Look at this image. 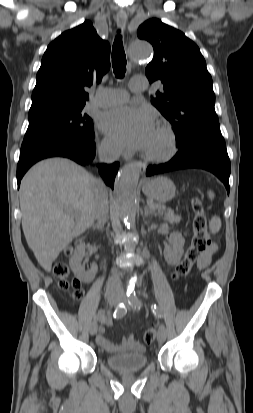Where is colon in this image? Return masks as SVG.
<instances>
[{"label": "colon", "instance_id": "1", "mask_svg": "<svg viewBox=\"0 0 253 413\" xmlns=\"http://www.w3.org/2000/svg\"><path fill=\"white\" fill-rule=\"evenodd\" d=\"M192 209L194 211L193 219V237L190 246L188 247L183 259L175 267L171 277L173 280H179L187 276L193 266L199 262L204 252L211 245L207 217L202 201L199 198H194L192 201ZM71 249L66 250V254L70 255ZM54 275L59 278V288L71 295L75 300L81 299L83 291L79 280L70 277L69 266L65 262H58L53 268ZM156 331L149 328L144 333V341L150 344L154 341Z\"/></svg>", "mask_w": 253, "mask_h": 413}]
</instances>
